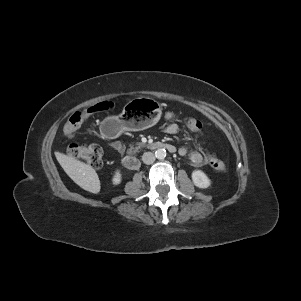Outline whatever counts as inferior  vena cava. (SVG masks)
<instances>
[{
  "instance_id": "1",
  "label": "inferior vena cava",
  "mask_w": 301,
  "mask_h": 301,
  "mask_svg": "<svg viewBox=\"0 0 301 301\" xmlns=\"http://www.w3.org/2000/svg\"><path fill=\"white\" fill-rule=\"evenodd\" d=\"M142 161L145 164H152L155 161V156L152 152H145L142 156Z\"/></svg>"
}]
</instances>
